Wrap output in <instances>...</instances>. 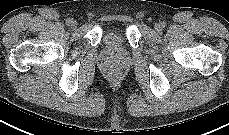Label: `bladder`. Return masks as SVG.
Masks as SVG:
<instances>
[{
	"label": "bladder",
	"mask_w": 229,
	"mask_h": 135,
	"mask_svg": "<svg viewBox=\"0 0 229 135\" xmlns=\"http://www.w3.org/2000/svg\"><path fill=\"white\" fill-rule=\"evenodd\" d=\"M108 40H114V39H116L117 38V35H116V33H114V32H109L108 34H107V37H106Z\"/></svg>",
	"instance_id": "31cf9c89"
}]
</instances>
